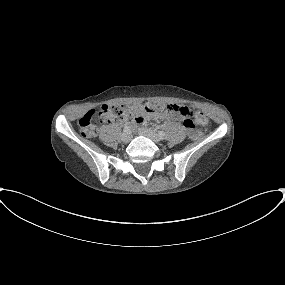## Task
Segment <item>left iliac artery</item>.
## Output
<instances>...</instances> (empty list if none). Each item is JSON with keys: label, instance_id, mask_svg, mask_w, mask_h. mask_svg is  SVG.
Segmentation results:
<instances>
[{"label": "left iliac artery", "instance_id": "obj_1", "mask_svg": "<svg viewBox=\"0 0 285 285\" xmlns=\"http://www.w3.org/2000/svg\"><path fill=\"white\" fill-rule=\"evenodd\" d=\"M158 135L160 136V137H163L164 136V132L163 131H158Z\"/></svg>", "mask_w": 285, "mask_h": 285}]
</instances>
